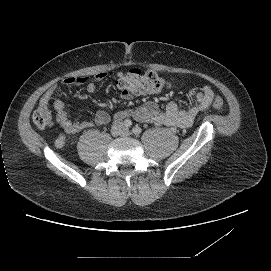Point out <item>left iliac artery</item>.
I'll return each instance as SVG.
<instances>
[{
    "mask_svg": "<svg viewBox=\"0 0 271 271\" xmlns=\"http://www.w3.org/2000/svg\"><path fill=\"white\" fill-rule=\"evenodd\" d=\"M132 132L135 134V135H139L141 132H142V129L138 126L134 127L132 129Z\"/></svg>",
    "mask_w": 271,
    "mask_h": 271,
    "instance_id": "obj_1",
    "label": "left iliac artery"
}]
</instances>
